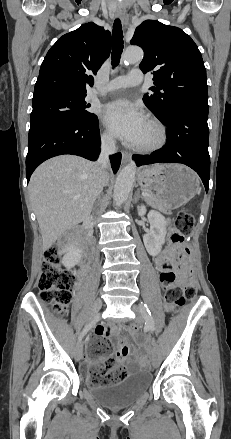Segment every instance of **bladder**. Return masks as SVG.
Masks as SVG:
<instances>
[{"mask_svg":"<svg viewBox=\"0 0 231 439\" xmlns=\"http://www.w3.org/2000/svg\"><path fill=\"white\" fill-rule=\"evenodd\" d=\"M152 383V376L146 371L130 374L117 385L89 386L92 397L109 408H121L133 404L147 392Z\"/></svg>","mask_w":231,"mask_h":439,"instance_id":"31cf9c89","label":"bladder"}]
</instances>
